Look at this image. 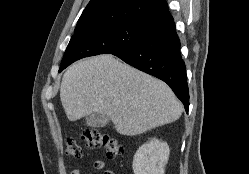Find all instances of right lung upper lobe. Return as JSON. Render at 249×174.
I'll return each mask as SVG.
<instances>
[{"mask_svg": "<svg viewBox=\"0 0 249 174\" xmlns=\"http://www.w3.org/2000/svg\"><path fill=\"white\" fill-rule=\"evenodd\" d=\"M169 17L166 0H91L79 18L75 32L119 22L148 25Z\"/></svg>", "mask_w": 249, "mask_h": 174, "instance_id": "1", "label": "right lung upper lobe"}]
</instances>
